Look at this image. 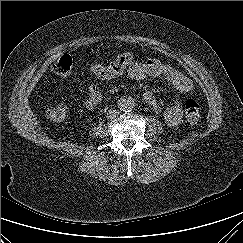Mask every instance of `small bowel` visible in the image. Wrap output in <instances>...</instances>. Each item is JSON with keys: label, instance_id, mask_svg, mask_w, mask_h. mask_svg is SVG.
Returning a JSON list of instances; mask_svg holds the SVG:
<instances>
[{"label": "small bowel", "instance_id": "obj_1", "mask_svg": "<svg viewBox=\"0 0 243 243\" xmlns=\"http://www.w3.org/2000/svg\"><path fill=\"white\" fill-rule=\"evenodd\" d=\"M131 79L142 80L146 77H163L180 93L192 91L194 85L190 78L176 70L169 64L162 63L158 59H149L143 62H135L128 71ZM144 101L151 106L155 112L161 113L165 123L169 127L178 126L183 117L181 101L175 99L173 104L162 109L156 95L152 91L143 94ZM101 101V92L97 84H91L87 89L86 99L83 104L87 109L95 108Z\"/></svg>", "mask_w": 243, "mask_h": 243}]
</instances>
